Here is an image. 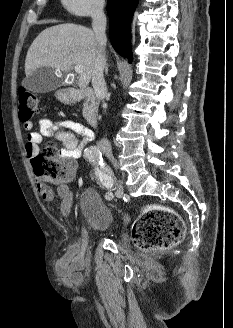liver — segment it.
I'll return each instance as SVG.
<instances>
[{
    "label": "liver",
    "mask_w": 233,
    "mask_h": 328,
    "mask_svg": "<svg viewBox=\"0 0 233 328\" xmlns=\"http://www.w3.org/2000/svg\"><path fill=\"white\" fill-rule=\"evenodd\" d=\"M97 50L95 33L87 27L65 23L46 28L28 49L25 59L26 76L42 66L67 73L72 66L80 65L83 71L78 85L85 89L92 79Z\"/></svg>",
    "instance_id": "liver-1"
}]
</instances>
